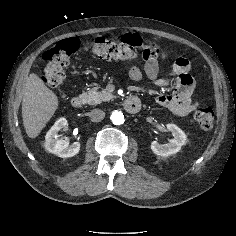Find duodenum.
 Here are the masks:
<instances>
[{"instance_id":"410a0bca","label":"duodenum","mask_w":236,"mask_h":236,"mask_svg":"<svg viewBox=\"0 0 236 236\" xmlns=\"http://www.w3.org/2000/svg\"><path fill=\"white\" fill-rule=\"evenodd\" d=\"M71 107L74 109H80L83 106V99L79 96H75L70 100ZM141 108V101L137 97H129L124 102V109L129 113H137Z\"/></svg>"}]
</instances>
